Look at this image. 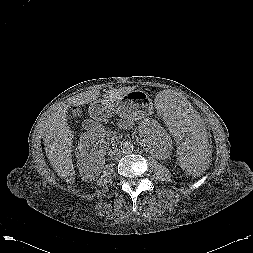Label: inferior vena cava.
Instances as JSON below:
<instances>
[{
	"mask_svg": "<svg viewBox=\"0 0 253 253\" xmlns=\"http://www.w3.org/2000/svg\"><path fill=\"white\" fill-rule=\"evenodd\" d=\"M123 155V152L122 150L118 149V148H115L113 151H112V156L114 158H120L121 156Z\"/></svg>",
	"mask_w": 253,
	"mask_h": 253,
	"instance_id": "obj_1",
	"label": "inferior vena cava"
}]
</instances>
